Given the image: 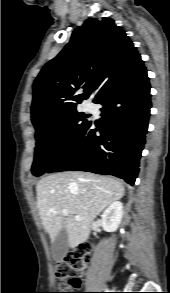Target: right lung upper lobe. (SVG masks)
<instances>
[{"label": "right lung upper lobe", "instance_id": "right-lung-upper-lobe-1", "mask_svg": "<svg viewBox=\"0 0 170 293\" xmlns=\"http://www.w3.org/2000/svg\"><path fill=\"white\" fill-rule=\"evenodd\" d=\"M143 68L140 54L113 19H87L33 84L35 129L76 108L90 96L89 90L95 103L106 89ZM81 86L87 93H77Z\"/></svg>", "mask_w": 170, "mask_h": 293}]
</instances>
